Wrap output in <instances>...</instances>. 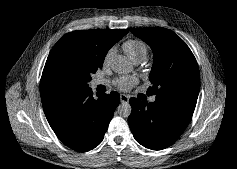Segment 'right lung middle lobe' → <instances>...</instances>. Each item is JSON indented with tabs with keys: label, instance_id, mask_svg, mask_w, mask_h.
<instances>
[{
	"label": "right lung middle lobe",
	"instance_id": "1",
	"mask_svg": "<svg viewBox=\"0 0 237 169\" xmlns=\"http://www.w3.org/2000/svg\"><path fill=\"white\" fill-rule=\"evenodd\" d=\"M103 60L98 59L88 49L70 44L61 48L50 67L52 78L76 89L88 86L91 74L102 68Z\"/></svg>",
	"mask_w": 237,
	"mask_h": 169
}]
</instances>
